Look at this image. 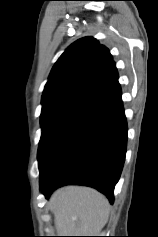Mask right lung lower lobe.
I'll return each mask as SVG.
<instances>
[{
	"label": "right lung lower lobe",
	"instance_id": "98d812e1",
	"mask_svg": "<svg viewBox=\"0 0 158 237\" xmlns=\"http://www.w3.org/2000/svg\"><path fill=\"white\" fill-rule=\"evenodd\" d=\"M127 123L117 82L80 105L42 141L40 187L48 198L63 185H86L113 204L126 154Z\"/></svg>",
	"mask_w": 158,
	"mask_h": 237
}]
</instances>
